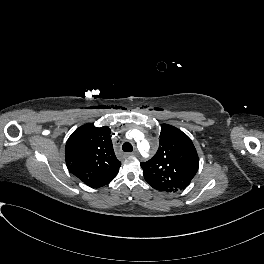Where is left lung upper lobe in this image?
Here are the masks:
<instances>
[{
  "label": "left lung upper lobe",
  "instance_id": "5c2ea615",
  "mask_svg": "<svg viewBox=\"0 0 264 264\" xmlns=\"http://www.w3.org/2000/svg\"><path fill=\"white\" fill-rule=\"evenodd\" d=\"M157 153L140 165L148 184L163 192L185 189L197 173L199 158L191 139L181 130L161 125Z\"/></svg>",
  "mask_w": 264,
  "mask_h": 264
}]
</instances>
